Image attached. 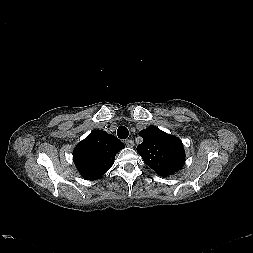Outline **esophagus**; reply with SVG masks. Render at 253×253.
<instances>
[{
  "mask_svg": "<svg viewBox=\"0 0 253 253\" xmlns=\"http://www.w3.org/2000/svg\"><path fill=\"white\" fill-rule=\"evenodd\" d=\"M127 147L132 148L134 146V142L131 139L125 141Z\"/></svg>",
  "mask_w": 253,
  "mask_h": 253,
  "instance_id": "34e87169",
  "label": "esophagus"
}]
</instances>
